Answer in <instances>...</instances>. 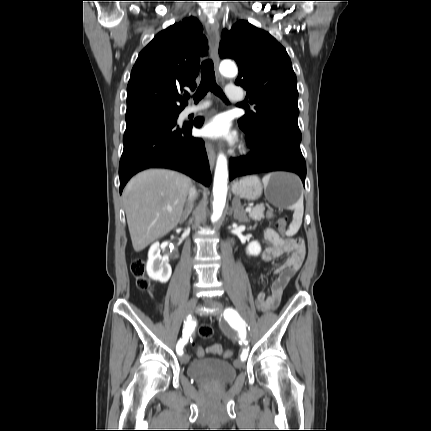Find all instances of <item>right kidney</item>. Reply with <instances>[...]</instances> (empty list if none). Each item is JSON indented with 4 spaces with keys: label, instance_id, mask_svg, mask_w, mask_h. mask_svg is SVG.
Wrapping results in <instances>:
<instances>
[{
    "label": "right kidney",
    "instance_id": "obj_1",
    "mask_svg": "<svg viewBox=\"0 0 431 431\" xmlns=\"http://www.w3.org/2000/svg\"><path fill=\"white\" fill-rule=\"evenodd\" d=\"M147 273L151 279L160 281L161 283H166L171 277V266L160 255L159 242H155L149 249Z\"/></svg>",
    "mask_w": 431,
    "mask_h": 431
}]
</instances>
